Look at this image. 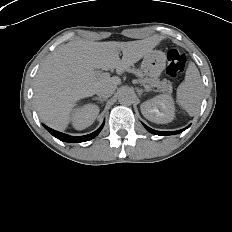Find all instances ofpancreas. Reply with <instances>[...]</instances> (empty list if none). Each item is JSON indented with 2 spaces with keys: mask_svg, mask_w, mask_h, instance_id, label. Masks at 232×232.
Listing matches in <instances>:
<instances>
[{
  "mask_svg": "<svg viewBox=\"0 0 232 232\" xmlns=\"http://www.w3.org/2000/svg\"><path fill=\"white\" fill-rule=\"evenodd\" d=\"M148 82L151 84V85H158L160 84V82L158 80H155V81H150L148 80Z\"/></svg>",
  "mask_w": 232,
  "mask_h": 232,
  "instance_id": "1",
  "label": "pancreas"
}]
</instances>
